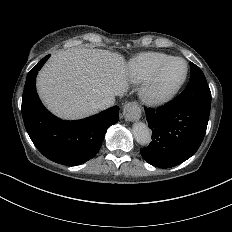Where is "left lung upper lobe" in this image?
<instances>
[{
  "label": "left lung upper lobe",
  "instance_id": "1",
  "mask_svg": "<svg viewBox=\"0 0 232 232\" xmlns=\"http://www.w3.org/2000/svg\"><path fill=\"white\" fill-rule=\"evenodd\" d=\"M191 74L185 90L174 100L176 102L191 104L210 112L211 92L201 69L190 63Z\"/></svg>",
  "mask_w": 232,
  "mask_h": 232
}]
</instances>
